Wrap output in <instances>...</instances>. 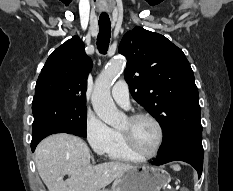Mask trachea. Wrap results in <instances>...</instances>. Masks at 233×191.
Listing matches in <instances>:
<instances>
[{"label": "trachea", "mask_w": 233, "mask_h": 191, "mask_svg": "<svg viewBox=\"0 0 233 191\" xmlns=\"http://www.w3.org/2000/svg\"><path fill=\"white\" fill-rule=\"evenodd\" d=\"M111 37V23L107 14H101L99 18V34L97 37V48L101 54H106Z\"/></svg>", "instance_id": "obj_1"}]
</instances>
